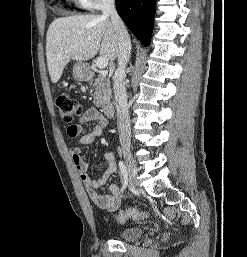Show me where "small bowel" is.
<instances>
[{
  "label": "small bowel",
  "mask_w": 247,
  "mask_h": 257,
  "mask_svg": "<svg viewBox=\"0 0 247 257\" xmlns=\"http://www.w3.org/2000/svg\"><path fill=\"white\" fill-rule=\"evenodd\" d=\"M95 121H98L99 123L94 126L92 132L84 133V127ZM105 126L106 121L101 117L98 110L90 107L82 113L76 124L68 126L67 134L70 138L78 139L79 146L71 148L70 153L72 161L78 170L79 176L87 189L89 198L100 209L113 212L120 206L122 189H120L116 184H111L109 187L110 195H102L98 192V189L102 187L116 172V162L113 153L110 151L105 153L107 167L96 178H92L88 175V166L81 154V146L91 144L95 137L102 134Z\"/></svg>",
  "instance_id": "obj_1"
}]
</instances>
